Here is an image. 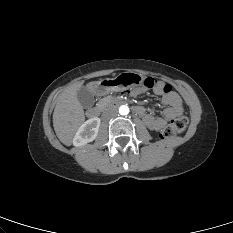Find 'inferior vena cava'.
<instances>
[{
	"instance_id": "inferior-vena-cava-1",
	"label": "inferior vena cava",
	"mask_w": 233,
	"mask_h": 233,
	"mask_svg": "<svg viewBox=\"0 0 233 233\" xmlns=\"http://www.w3.org/2000/svg\"><path fill=\"white\" fill-rule=\"evenodd\" d=\"M117 115V111L114 108L107 109L103 112L102 116L105 120H110Z\"/></svg>"
}]
</instances>
